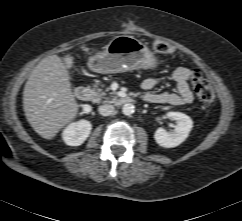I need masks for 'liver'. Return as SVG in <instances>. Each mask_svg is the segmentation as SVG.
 I'll use <instances>...</instances> for the list:
<instances>
[{
	"label": "liver",
	"mask_w": 242,
	"mask_h": 221,
	"mask_svg": "<svg viewBox=\"0 0 242 221\" xmlns=\"http://www.w3.org/2000/svg\"><path fill=\"white\" fill-rule=\"evenodd\" d=\"M68 71L57 55L42 59L32 70L23 92L27 121L36 133L52 139L78 114Z\"/></svg>",
	"instance_id": "obj_1"
}]
</instances>
